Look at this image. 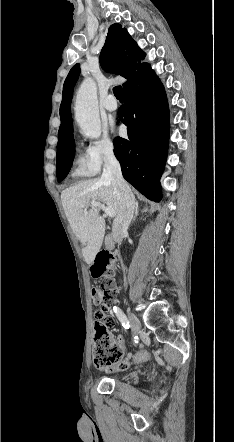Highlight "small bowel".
<instances>
[{
    "instance_id": "1",
    "label": "small bowel",
    "mask_w": 234,
    "mask_h": 442,
    "mask_svg": "<svg viewBox=\"0 0 234 442\" xmlns=\"http://www.w3.org/2000/svg\"><path fill=\"white\" fill-rule=\"evenodd\" d=\"M110 310L108 308L107 312ZM99 311V310H98ZM96 312L95 321H94V330L95 331H108L109 328H114L116 326V321L111 314H97ZM119 344L123 345V339L121 337L117 338Z\"/></svg>"
}]
</instances>
